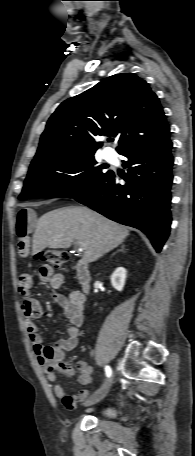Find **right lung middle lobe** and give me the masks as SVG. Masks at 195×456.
<instances>
[{
	"label": "right lung middle lobe",
	"instance_id": "right-lung-middle-lobe-1",
	"mask_svg": "<svg viewBox=\"0 0 195 456\" xmlns=\"http://www.w3.org/2000/svg\"><path fill=\"white\" fill-rule=\"evenodd\" d=\"M93 155L61 158L29 169L20 200L34 197L76 198L96 187L110 171L104 172Z\"/></svg>",
	"mask_w": 195,
	"mask_h": 456
}]
</instances>
